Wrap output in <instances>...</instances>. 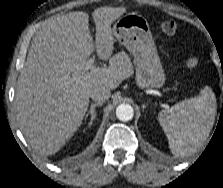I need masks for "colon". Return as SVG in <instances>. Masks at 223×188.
I'll return each instance as SVG.
<instances>
[{
	"label": "colon",
	"instance_id": "obj_1",
	"mask_svg": "<svg viewBox=\"0 0 223 188\" xmlns=\"http://www.w3.org/2000/svg\"><path fill=\"white\" fill-rule=\"evenodd\" d=\"M178 22L175 20H164L160 24L161 30L166 34H174L178 30ZM199 64V57L197 54H190L186 59V65L189 68H194Z\"/></svg>",
	"mask_w": 223,
	"mask_h": 188
}]
</instances>
